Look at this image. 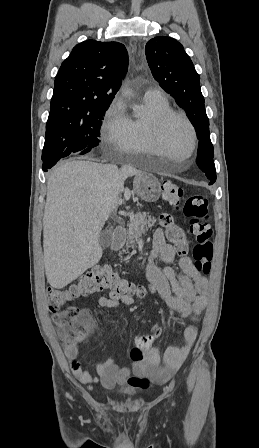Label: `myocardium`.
Listing matches in <instances>:
<instances>
[{
    "mask_svg": "<svg viewBox=\"0 0 259 448\" xmlns=\"http://www.w3.org/2000/svg\"><path fill=\"white\" fill-rule=\"evenodd\" d=\"M179 119L183 121L187 127L190 130L191 138H192V144H191V155L190 160L195 161L197 157V142H198V136L197 131L192 123V121L188 118V116L180 111H169L164 114H161L153 119V128H152V141L153 145L156 149H165L164 141H163V133L166 128V126L173 120ZM148 154V152H145ZM156 171H162L156 169Z\"/></svg>",
    "mask_w": 259,
    "mask_h": 448,
    "instance_id": "1",
    "label": "myocardium"
}]
</instances>
